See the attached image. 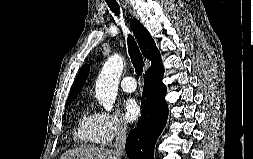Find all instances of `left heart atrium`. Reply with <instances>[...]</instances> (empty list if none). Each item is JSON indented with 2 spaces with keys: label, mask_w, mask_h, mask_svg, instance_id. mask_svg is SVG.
<instances>
[{
  "label": "left heart atrium",
  "mask_w": 253,
  "mask_h": 159,
  "mask_svg": "<svg viewBox=\"0 0 253 159\" xmlns=\"http://www.w3.org/2000/svg\"><path fill=\"white\" fill-rule=\"evenodd\" d=\"M124 116L127 121L134 122L138 119L141 113L138 102L132 98L127 99L123 104Z\"/></svg>",
  "instance_id": "1"
}]
</instances>
